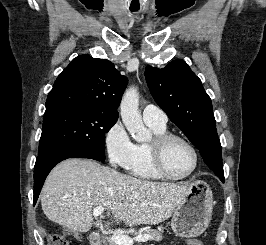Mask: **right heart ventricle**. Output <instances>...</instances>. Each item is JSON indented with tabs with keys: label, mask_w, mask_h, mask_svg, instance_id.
I'll return each instance as SVG.
<instances>
[{
	"label": "right heart ventricle",
	"mask_w": 266,
	"mask_h": 245,
	"mask_svg": "<svg viewBox=\"0 0 266 245\" xmlns=\"http://www.w3.org/2000/svg\"><path fill=\"white\" fill-rule=\"evenodd\" d=\"M147 124L155 135L167 132L166 125H159L156 123ZM130 174L144 182H157L161 180V177H159L152 166L148 143L137 144L135 158L130 168Z\"/></svg>",
	"instance_id": "1"
}]
</instances>
